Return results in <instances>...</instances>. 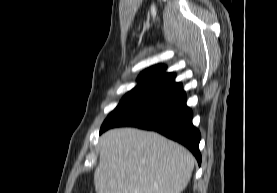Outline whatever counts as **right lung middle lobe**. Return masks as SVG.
I'll list each match as a JSON object with an SVG mask.
<instances>
[{
	"mask_svg": "<svg viewBox=\"0 0 277 193\" xmlns=\"http://www.w3.org/2000/svg\"><path fill=\"white\" fill-rule=\"evenodd\" d=\"M146 94L141 93V92H129L127 93L123 99L120 101V103L118 104V106L115 108L114 111H112L108 117L106 118V120L104 121L107 122L109 121L114 115H116L117 113L121 112L122 110H124L125 108L131 106L132 104L136 103L137 101H139L141 98H143Z\"/></svg>",
	"mask_w": 277,
	"mask_h": 193,
	"instance_id": "1",
	"label": "right lung middle lobe"
}]
</instances>
